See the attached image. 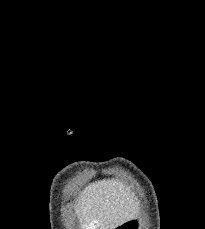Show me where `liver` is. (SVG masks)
<instances>
[{
  "label": "liver",
  "mask_w": 205,
  "mask_h": 229,
  "mask_svg": "<svg viewBox=\"0 0 205 229\" xmlns=\"http://www.w3.org/2000/svg\"><path fill=\"white\" fill-rule=\"evenodd\" d=\"M136 212L122 184L109 180L89 184L79 196L76 209L81 229H115Z\"/></svg>",
  "instance_id": "1"
}]
</instances>
